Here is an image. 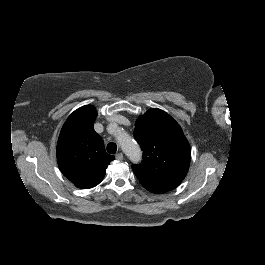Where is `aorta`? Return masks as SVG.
I'll use <instances>...</instances> for the list:
<instances>
[{"label": "aorta", "mask_w": 265, "mask_h": 265, "mask_svg": "<svg viewBox=\"0 0 265 265\" xmlns=\"http://www.w3.org/2000/svg\"><path fill=\"white\" fill-rule=\"evenodd\" d=\"M120 144L123 152L130 158L131 161L138 162L141 159V150L131 137H126L120 142Z\"/></svg>", "instance_id": "obj_1"}]
</instances>
